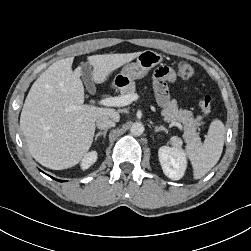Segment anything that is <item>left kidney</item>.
<instances>
[{
    "label": "left kidney",
    "instance_id": "obj_1",
    "mask_svg": "<svg viewBox=\"0 0 251 251\" xmlns=\"http://www.w3.org/2000/svg\"><path fill=\"white\" fill-rule=\"evenodd\" d=\"M158 157L164 174L171 180L183 177L187 167V159L181 148L163 146L158 151Z\"/></svg>",
    "mask_w": 251,
    "mask_h": 251
}]
</instances>
